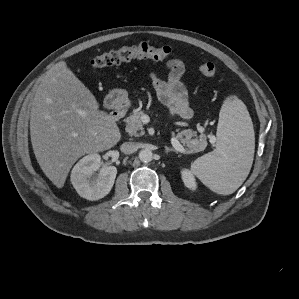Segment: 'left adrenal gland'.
<instances>
[{
	"label": "left adrenal gland",
	"mask_w": 299,
	"mask_h": 299,
	"mask_svg": "<svg viewBox=\"0 0 299 299\" xmlns=\"http://www.w3.org/2000/svg\"><path fill=\"white\" fill-rule=\"evenodd\" d=\"M171 151L177 153V151H176L175 149H173V148H169V147H165V153H169V152H171Z\"/></svg>",
	"instance_id": "a2214340"
}]
</instances>
